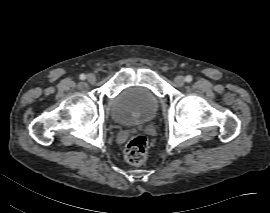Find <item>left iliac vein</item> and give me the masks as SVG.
<instances>
[{
    "instance_id": "left-iliac-vein-1",
    "label": "left iliac vein",
    "mask_w": 270,
    "mask_h": 213,
    "mask_svg": "<svg viewBox=\"0 0 270 213\" xmlns=\"http://www.w3.org/2000/svg\"><path fill=\"white\" fill-rule=\"evenodd\" d=\"M176 85L178 86H183L184 85V82H185V79L183 76H176L175 79H174Z\"/></svg>"
}]
</instances>
